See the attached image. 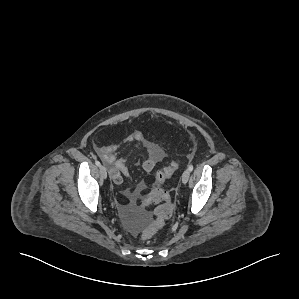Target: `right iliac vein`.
Returning a JSON list of instances; mask_svg holds the SVG:
<instances>
[{
  "mask_svg": "<svg viewBox=\"0 0 299 299\" xmlns=\"http://www.w3.org/2000/svg\"><path fill=\"white\" fill-rule=\"evenodd\" d=\"M100 174L103 178L107 177V169L105 166H100Z\"/></svg>",
  "mask_w": 299,
  "mask_h": 299,
  "instance_id": "63e3f726",
  "label": "right iliac vein"
}]
</instances>
